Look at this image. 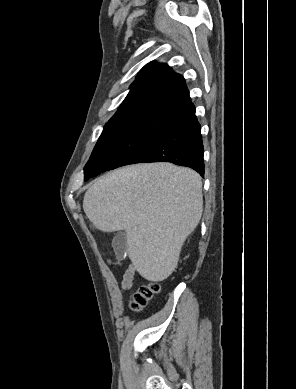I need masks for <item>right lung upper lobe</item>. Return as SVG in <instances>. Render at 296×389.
I'll return each mask as SVG.
<instances>
[{"label": "right lung upper lobe", "mask_w": 296, "mask_h": 389, "mask_svg": "<svg viewBox=\"0 0 296 389\" xmlns=\"http://www.w3.org/2000/svg\"><path fill=\"white\" fill-rule=\"evenodd\" d=\"M195 111L184 78L167 64L150 62L139 72L111 120L155 114L176 120Z\"/></svg>", "instance_id": "1"}]
</instances>
